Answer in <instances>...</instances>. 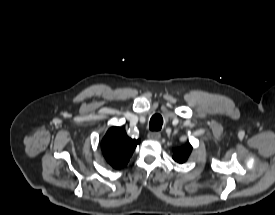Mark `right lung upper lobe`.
I'll return each mask as SVG.
<instances>
[{"label":"right lung upper lobe","instance_id":"1","mask_svg":"<svg viewBox=\"0 0 275 215\" xmlns=\"http://www.w3.org/2000/svg\"><path fill=\"white\" fill-rule=\"evenodd\" d=\"M140 140L131 139L121 127L110 128L101 142L103 155L115 169L126 165Z\"/></svg>","mask_w":275,"mask_h":215}]
</instances>
